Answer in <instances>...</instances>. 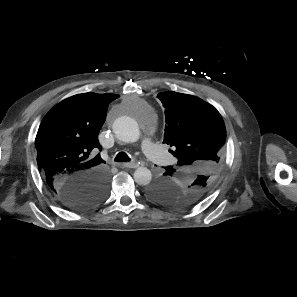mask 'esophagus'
<instances>
[{
	"instance_id": "obj_1",
	"label": "esophagus",
	"mask_w": 297,
	"mask_h": 297,
	"mask_svg": "<svg viewBox=\"0 0 297 297\" xmlns=\"http://www.w3.org/2000/svg\"><path fill=\"white\" fill-rule=\"evenodd\" d=\"M122 165L124 167H127V168H138V167H140V164L139 163H135V162L123 163Z\"/></svg>"
}]
</instances>
